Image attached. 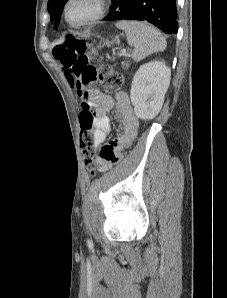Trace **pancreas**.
Listing matches in <instances>:
<instances>
[{"mask_svg": "<svg viewBox=\"0 0 227 298\" xmlns=\"http://www.w3.org/2000/svg\"><path fill=\"white\" fill-rule=\"evenodd\" d=\"M123 66H126V67H127V66H128V63H126V64H125V63H123Z\"/></svg>", "mask_w": 227, "mask_h": 298, "instance_id": "pancreas-1", "label": "pancreas"}]
</instances>
